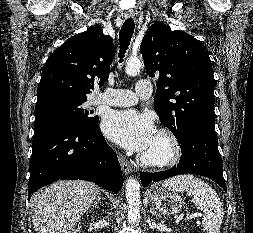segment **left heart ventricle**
I'll return each mask as SVG.
<instances>
[{"label":"left heart ventricle","instance_id":"1","mask_svg":"<svg viewBox=\"0 0 253 233\" xmlns=\"http://www.w3.org/2000/svg\"><path fill=\"white\" fill-rule=\"evenodd\" d=\"M166 150V144L162 139L157 137L155 135L152 143L150 146L143 152L144 154H149V155H161L165 152Z\"/></svg>","mask_w":253,"mask_h":233}]
</instances>
